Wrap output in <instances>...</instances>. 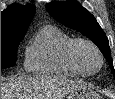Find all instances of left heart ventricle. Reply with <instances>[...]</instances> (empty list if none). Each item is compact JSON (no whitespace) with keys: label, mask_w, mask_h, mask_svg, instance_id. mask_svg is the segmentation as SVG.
Wrapping results in <instances>:
<instances>
[{"label":"left heart ventricle","mask_w":115,"mask_h":99,"mask_svg":"<svg viewBox=\"0 0 115 99\" xmlns=\"http://www.w3.org/2000/svg\"><path fill=\"white\" fill-rule=\"evenodd\" d=\"M77 56L80 63L89 71H95L100 64V60L96 52L87 45H79L77 48Z\"/></svg>","instance_id":"b2bd125f"}]
</instances>
